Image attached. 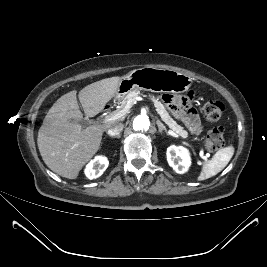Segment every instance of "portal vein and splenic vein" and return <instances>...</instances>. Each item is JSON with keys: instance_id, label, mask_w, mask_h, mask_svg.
I'll use <instances>...</instances> for the list:
<instances>
[{"instance_id": "portal-vein-and-splenic-vein-1", "label": "portal vein and splenic vein", "mask_w": 267, "mask_h": 267, "mask_svg": "<svg viewBox=\"0 0 267 267\" xmlns=\"http://www.w3.org/2000/svg\"><path fill=\"white\" fill-rule=\"evenodd\" d=\"M142 100L143 99L141 97H136L133 100L128 101V103L122 110L114 111L110 115L106 116L104 122H111L120 119L128 112V110L136 103V101H142Z\"/></svg>"}]
</instances>
